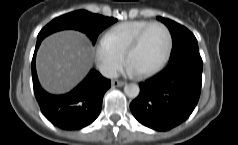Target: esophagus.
<instances>
[{
  "mask_svg": "<svg viewBox=\"0 0 238 145\" xmlns=\"http://www.w3.org/2000/svg\"><path fill=\"white\" fill-rule=\"evenodd\" d=\"M111 84L113 87H121L125 84V82L119 80H112Z\"/></svg>",
  "mask_w": 238,
  "mask_h": 145,
  "instance_id": "1",
  "label": "esophagus"
}]
</instances>
